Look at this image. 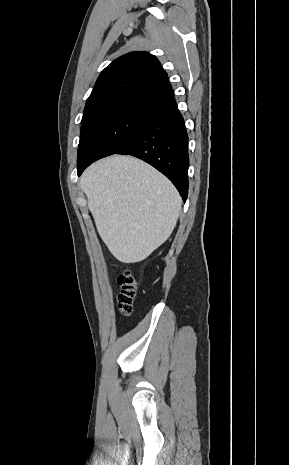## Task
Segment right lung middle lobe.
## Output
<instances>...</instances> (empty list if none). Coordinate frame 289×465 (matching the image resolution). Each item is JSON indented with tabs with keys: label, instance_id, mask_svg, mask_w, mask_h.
I'll return each mask as SVG.
<instances>
[{
	"label": "right lung middle lobe",
	"instance_id": "right-lung-middle-lobe-1",
	"mask_svg": "<svg viewBox=\"0 0 289 465\" xmlns=\"http://www.w3.org/2000/svg\"><path fill=\"white\" fill-rule=\"evenodd\" d=\"M162 108L161 104L127 101L88 116L82 120L77 163L117 153L153 121Z\"/></svg>",
	"mask_w": 289,
	"mask_h": 465
}]
</instances>
